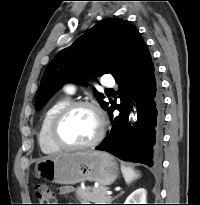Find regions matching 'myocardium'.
<instances>
[{"label": "myocardium", "instance_id": "f54148a6", "mask_svg": "<svg viewBox=\"0 0 200 205\" xmlns=\"http://www.w3.org/2000/svg\"><path fill=\"white\" fill-rule=\"evenodd\" d=\"M78 108H87L91 110L98 121V131L96 136L89 142L80 145H69L64 143L59 136V129L64 121V119L75 109ZM106 132V122L102 111L99 109L97 105L90 101H71L67 103L55 116L53 119L51 129H50V137L52 142L60 149L65 151H76V150H84L97 146L104 138Z\"/></svg>", "mask_w": 200, "mask_h": 205}]
</instances>
